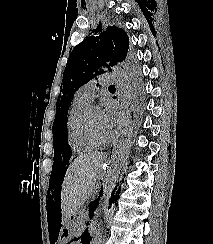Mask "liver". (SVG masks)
Instances as JSON below:
<instances>
[{"label": "liver", "mask_w": 213, "mask_h": 244, "mask_svg": "<svg viewBox=\"0 0 213 244\" xmlns=\"http://www.w3.org/2000/svg\"><path fill=\"white\" fill-rule=\"evenodd\" d=\"M105 155L82 154L70 163L61 188L62 222L65 223L93 191Z\"/></svg>", "instance_id": "obj_1"}]
</instances>
